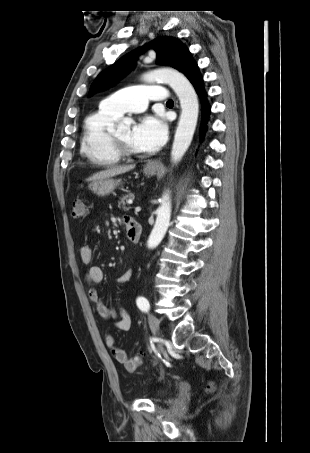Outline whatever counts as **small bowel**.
I'll use <instances>...</instances> for the list:
<instances>
[{
  "label": "small bowel",
  "mask_w": 310,
  "mask_h": 453,
  "mask_svg": "<svg viewBox=\"0 0 310 453\" xmlns=\"http://www.w3.org/2000/svg\"><path fill=\"white\" fill-rule=\"evenodd\" d=\"M133 220L130 217H125V225ZM80 260L83 264L88 265L93 260V250L88 245H83L79 249ZM133 276L131 269L126 270L114 279L116 284H124ZM86 280L89 283V299L95 305L99 316L104 320L115 319V326L120 331H128L131 328V317L128 312L120 305H106L99 293L98 287L104 280V274L100 267L91 266L86 273ZM106 345L111 351L113 358L120 364L127 362L126 352L116 345L115 339L111 335L106 336Z\"/></svg>",
  "instance_id": "1"
}]
</instances>
